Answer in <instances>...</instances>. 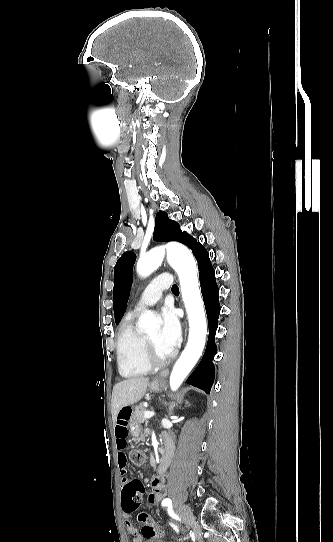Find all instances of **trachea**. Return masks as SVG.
<instances>
[{"mask_svg":"<svg viewBox=\"0 0 333 542\" xmlns=\"http://www.w3.org/2000/svg\"><path fill=\"white\" fill-rule=\"evenodd\" d=\"M174 290H179L177 285H172V291H174Z\"/></svg>","mask_w":333,"mask_h":542,"instance_id":"trachea-1","label":"trachea"}]
</instances>
